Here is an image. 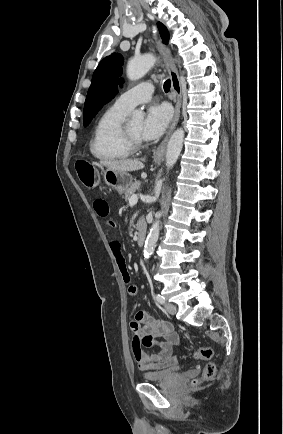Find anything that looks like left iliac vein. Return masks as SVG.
I'll list each match as a JSON object with an SVG mask.
<instances>
[{"mask_svg": "<svg viewBox=\"0 0 283 434\" xmlns=\"http://www.w3.org/2000/svg\"><path fill=\"white\" fill-rule=\"evenodd\" d=\"M164 307H165V310L171 315H174L177 311V308L174 304L165 303Z\"/></svg>", "mask_w": 283, "mask_h": 434, "instance_id": "1", "label": "left iliac vein"}]
</instances>
